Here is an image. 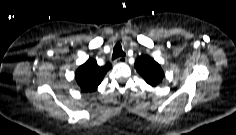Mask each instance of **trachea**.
<instances>
[{
	"label": "trachea",
	"instance_id": "1",
	"mask_svg": "<svg viewBox=\"0 0 236 135\" xmlns=\"http://www.w3.org/2000/svg\"><path fill=\"white\" fill-rule=\"evenodd\" d=\"M123 56H125V53L122 49V46L120 43H117L113 50L112 59L114 60L116 58L123 57Z\"/></svg>",
	"mask_w": 236,
	"mask_h": 135
}]
</instances>
